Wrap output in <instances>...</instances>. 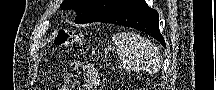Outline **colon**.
<instances>
[{
	"label": "colon",
	"mask_w": 216,
	"mask_h": 90,
	"mask_svg": "<svg viewBox=\"0 0 216 90\" xmlns=\"http://www.w3.org/2000/svg\"><path fill=\"white\" fill-rule=\"evenodd\" d=\"M75 42V37L68 31H60L54 40L55 45L57 46H69Z\"/></svg>",
	"instance_id": "5ec220e1"
}]
</instances>
